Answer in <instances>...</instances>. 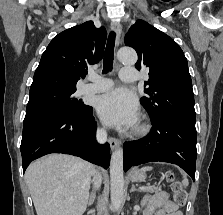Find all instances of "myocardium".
<instances>
[{"label":"myocardium","mask_w":223,"mask_h":215,"mask_svg":"<svg viewBox=\"0 0 223 215\" xmlns=\"http://www.w3.org/2000/svg\"><path fill=\"white\" fill-rule=\"evenodd\" d=\"M149 129L150 128L147 124L140 123L134 128L133 132L137 136H144L149 132Z\"/></svg>","instance_id":"f54148a6"}]
</instances>
